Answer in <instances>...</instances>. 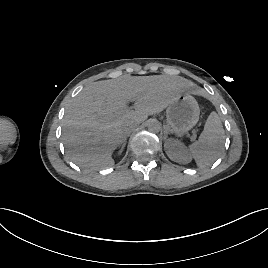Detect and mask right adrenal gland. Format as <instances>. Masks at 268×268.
I'll return each instance as SVG.
<instances>
[{
  "label": "right adrenal gland",
  "instance_id": "right-adrenal-gland-1",
  "mask_svg": "<svg viewBox=\"0 0 268 268\" xmlns=\"http://www.w3.org/2000/svg\"><path fill=\"white\" fill-rule=\"evenodd\" d=\"M126 142H127V139L126 137L122 140V143H121V149H120V153L123 151V149L125 148L126 146Z\"/></svg>",
  "mask_w": 268,
  "mask_h": 268
}]
</instances>
